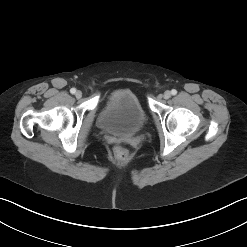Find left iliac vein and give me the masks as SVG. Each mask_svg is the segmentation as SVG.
Segmentation results:
<instances>
[{
  "mask_svg": "<svg viewBox=\"0 0 247 247\" xmlns=\"http://www.w3.org/2000/svg\"><path fill=\"white\" fill-rule=\"evenodd\" d=\"M164 99H169L171 97V92L170 91H165L163 94Z\"/></svg>",
  "mask_w": 247,
  "mask_h": 247,
  "instance_id": "1",
  "label": "left iliac vein"
}]
</instances>
